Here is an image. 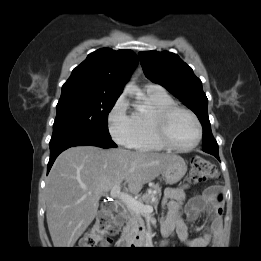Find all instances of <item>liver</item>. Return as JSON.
<instances>
[{
	"instance_id": "1",
	"label": "liver",
	"mask_w": 261,
	"mask_h": 261,
	"mask_svg": "<svg viewBox=\"0 0 261 261\" xmlns=\"http://www.w3.org/2000/svg\"><path fill=\"white\" fill-rule=\"evenodd\" d=\"M176 155L76 146L54 162L45 188L46 217L55 248H72L94 220L99 199L124 180L132 194L158 177Z\"/></svg>"
}]
</instances>
